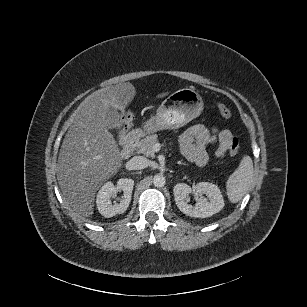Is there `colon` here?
I'll list each match as a JSON object with an SVG mask.
<instances>
[{
	"mask_svg": "<svg viewBox=\"0 0 307 307\" xmlns=\"http://www.w3.org/2000/svg\"><path fill=\"white\" fill-rule=\"evenodd\" d=\"M217 108H218L220 115L223 118L228 119V118L231 117V111L225 104L218 103ZM130 122H131V115H130V113H127L124 116L122 123L120 124V126L118 128V137L119 138H122L126 134L127 129L130 125ZM239 148H240L239 141L237 139H233L231 141V144H230L229 155L230 156L237 155V153L239 152Z\"/></svg>",
	"mask_w": 307,
	"mask_h": 307,
	"instance_id": "5ec220e1",
	"label": "colon"
}]
</instances>
